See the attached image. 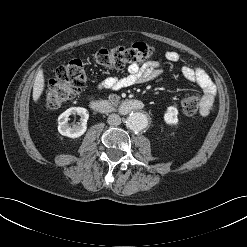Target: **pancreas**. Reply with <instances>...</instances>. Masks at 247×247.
<instances>
[{"label":"pancreas","mask_w":247,"mask_h":247,"mask_svg":"<svg viewBox=\"0 0 247 247\" xmlns=\"http://www.w3.org/2000/svg\"><path fill=\"white\" fill-rule=\"evenodd\" d=\"M108 99L113 105L117 106L120 103L121 97L116 94H110Z\"/></svg>","instance_id":"cf45deb5"}]
</instances>
